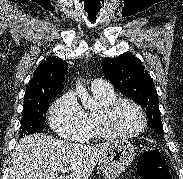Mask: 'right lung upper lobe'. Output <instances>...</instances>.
Wrapping results in <instances>:
<instances>
[{
	"instance_id": "1",
	"label": "right lung upper lobe",
	"mask_w": 183,
	"mask_h": 179,
	"mask_svg": "<svg viewBox=\"0 0 183 179\" xmlns=\"http://www.w3.org/2000/svg\"><path fill=\"white\" fill-rule=\"evenodd\" d=\"M67 68V62L60 58L49 57L43 60L28 83L24 105L59 94L63 89Z\"/></svg>"
}]
</instances>
